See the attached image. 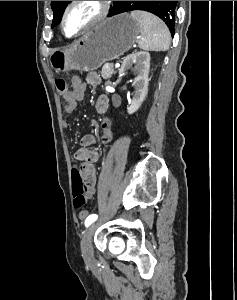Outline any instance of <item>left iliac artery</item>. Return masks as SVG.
Returning a JSON list of instances; mask_svg holds the SVG:
<instances>
[{
    "label": "left iliac artery",
    "mask_w": 237,
    "mask_h": 300,
    "mask_svg": "<svg viewBox=\"0 0 237 300\" xmlns=\"http://www.w3.org/2000/svg\"><path fill=\"white\" fill-rule=\"evenodd\" d=\"M97 218H98V216L96 214H92V215L88 216L87 219L85 220V226L88 227L94 221H96Z\"/></svg>",
    "instance_id": "44dca946"
}]
</instances>
